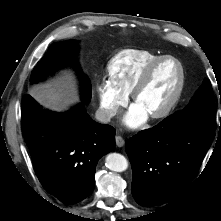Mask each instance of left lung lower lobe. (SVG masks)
Segmentation results:
<instances>
[{
    "mask_svg": "<svg viewBox=\"0 0 221 221\" xmlns=\"http://www.w3.org/2000/svg\"><path fill=\"white\" fill-rule=\"evenodd\" d=\"M214 136L211 129L176 128L164 120L127 140L136 202L150 207L176 199L191 183Z\"/></svg>",
    "mask_w": 221,
    "mask_h": 221,
    "instance_id": "1",
    "label": "left lung lower lobe"
}]
</instances>
